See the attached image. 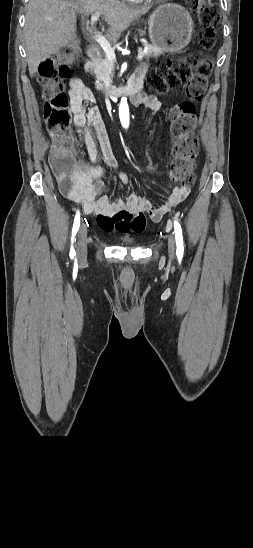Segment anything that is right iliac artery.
I'll list each match as a JSON object with an SVG mask.
<instances>
[{"mask_svg":"<svg viewBox=\"0 0 253 548\" xmlns=\"http://www.w3.org/2000/svg\"><path fill=\"white\" fill-rule=\"evenodd\" d=\"M79 226H80V214H79V211H77L76 215H75V219H74V224H73V229H72V237H71V241L72 243L74 242L75 240V235L79 229ZM76 255V252H75V249L73 247V245L71 246V249H70V257L71 258H74Z\"/></svg>","mask_w":253,"mask_h":548,"instance_id":"82829eb1","label":"right iliac artery"}]
</instances>
